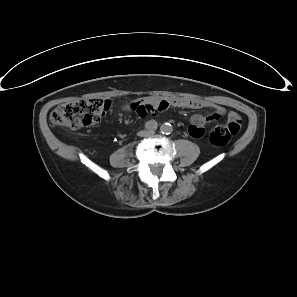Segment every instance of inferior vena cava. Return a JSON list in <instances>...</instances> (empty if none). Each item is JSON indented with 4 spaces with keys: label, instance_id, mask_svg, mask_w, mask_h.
Segmentation results:
<instances>
[{
    "label": "inferior vena cava",
    "instance_id": "1",
    "mask_svg": "<svg viewBox=\"0 0 297 297\" xmlns=\"http://www.w3.org/2000/svg\"><path fill=\"white\" fill-rule=\"evenodd\" d=\"M153 133H154L153 131H141L139 132V136H149Z\"/></svg>",
    "mask_w": 297,
    "mask_h": 297
}]
</instances>
